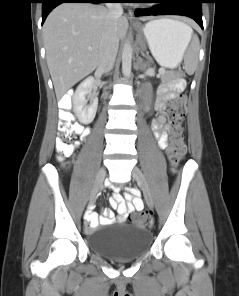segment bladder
<instances>
[{
  "label": "bladder",
  "mask_w": 239,
  "mask_h": 296,
  "mask_svg": "<svg viewBox=\"0 0 239 296\" xmlns=\"http://www.w3.org/2000/svg\"><path fill=\"white\" fill-rule=\"evenodd\" d=\"M89 247L111 260H132L142 256L152 245V233L134 224L98 227L87 238Z\"/></svg>",
  "instance_id": "obj_1"
}]
</instances>
